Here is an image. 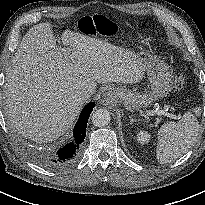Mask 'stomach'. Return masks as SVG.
Instances as JSON below:
<instances>
[{
    "label": "stomach",
    "instance_id": "0dacf381",
    "mask_svg": "<svg viewBox=\"0 0 205 205\" xmlns=\"http://www.w3.org/2000/svg\"><path fill=\"white\" fill-rule=\"evenodd\" d=\"M89 30L90 28L84 26V30L81 31L88 36L100 35L96 26L95 34ZM135 57L144 66V71H146L151 84V91L149 93H140L124 87H115L111 88L108 93L113 102L123 104L128 111L147 108L153 101L167 96L172 89L173 72L163 60L152 56L146 51L135 53Z\"/></svg>",
    "mask_w": 205,
    "mask_h": 205
}]
</instances>
